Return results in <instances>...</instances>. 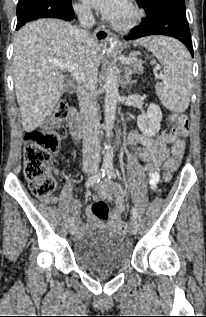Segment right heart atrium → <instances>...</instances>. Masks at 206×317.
Listing matches in <instances>:
<instances>
[{"label": "right heart atrium", "mask_w": 206, "mask_h": 317, "mask_svg": "<svg viewBox=\"0 0 206 317\" xmlns=\"http://www.w3.org/2000/svg\"><path fill=\"white\" fill-rule=\"evenodd\" d=\"M75 10L79 15L86 16L89 14L90 10L87 5L78 3L75 5Z\"/></svg>", "instance_id": "right-heart-atrium-1"}]
</instances>
